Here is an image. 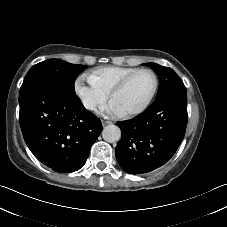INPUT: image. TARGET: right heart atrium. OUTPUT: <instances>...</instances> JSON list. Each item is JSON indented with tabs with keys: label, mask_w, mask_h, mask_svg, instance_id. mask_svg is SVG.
Returning <instances> with one entry per match:
<instances>
[{
	"label": "right heart atrium",
	"mask_w": 227,
	"mask_h": 227,
	"mask_svg": "<svg viewBox=\"0 0 227 227\" xmlns=\"http://www.w3.org/2000/svg\"><path fill=\"white\" fill-rule=\"evenodd\" d=\"M74 92L82 105L90 111L104 109L109 93L92 81L89 76H80L74 84Z\"/></svg>",
	"instance_id": "1"
}]
</instances>
